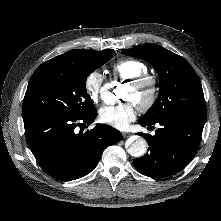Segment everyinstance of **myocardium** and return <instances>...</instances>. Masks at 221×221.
Returning a JSON list of instances; mask_svg holds the SVG:
<instances>
[{"mask_svg":"<svg viewBox=\"0 0 221 221\" xmlns=\"http://www.w3.org/2000/svg\"><path fill=\"white\" fill-rule=\"evenodd\" d=\"M128 85L137 90L146 91V95L137 103L141 111H148L156 103L159 95V81L154 75L148 73L140 75L130 79Z\"/></svg>","mask_w":221,"mask_h":221,"instance_id":"f54148a6","label":"myocardium"}]
</instances>
